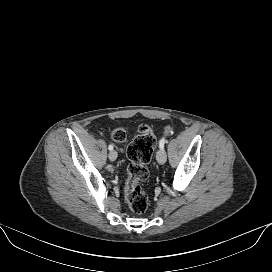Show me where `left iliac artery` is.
Returning a JSON list of instances; mask_svg holds the SVG:
<instances>
[{
    "label": "left iliac artery",
    "instance_id": "left-iliac-artery-1",
    "mask_svg": "<svg viewBox=\"0 0 272 272\" xmlns=\"http://www.w3.org/2000/svg\"><path fill=\"white\" fill-rule=\"evenodd\" d=\"M166 143V139L162 138L159 142L160 149H164V144Z\"/></svg>",
    "mask_w": 272,
    "mask_h": 272
}]
</instances>
